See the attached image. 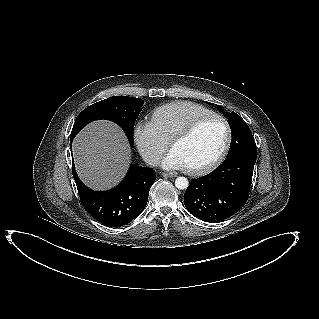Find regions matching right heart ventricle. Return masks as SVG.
I'll return each mask as SVG.
<instances>
[{
	"instance_id": "1",
	"label": "right heart ventricle",
	"mask_w": 319,
	"mask_h": 319,
	"mask_svg": "<svg viewBox=\"0 0 319 319\" xmlns=\"http://www.w3.org/2000/svg\"><path fill=\"white\" fill-rule=\"evenodd\" d=\"M214 113L212 110L190 101H173L153 109L150 123L168 142L193 119Z\"/></svg>"
}]
</instances>
